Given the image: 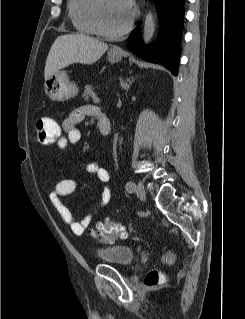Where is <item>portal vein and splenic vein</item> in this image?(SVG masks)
<instances>
[{
    "label": "portal vein and splenic vein",
    "mask_w": 245,
    "mask_h": 319,
    "mask_svg": "<svg viewBox=\"0 0 245 319\" xmlns=\"http://www.w3.org/2000/svg\"><path fill=\"white\" fill-rule=\"evenodd\" d=\"M93 99H94L95 102H99L100 101V99L98 97H96V96Z\"/></svg>",
    "instance_id": "1"
}]
</instances>
